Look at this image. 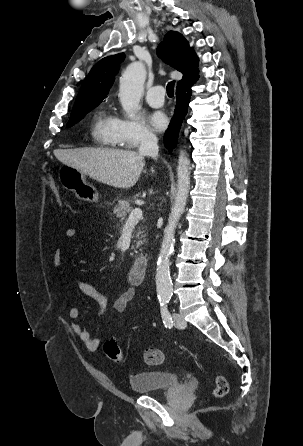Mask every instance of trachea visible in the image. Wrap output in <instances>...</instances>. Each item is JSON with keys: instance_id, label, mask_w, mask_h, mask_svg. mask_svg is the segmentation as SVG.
<instances>
[{"instance_id": "trachea-1", "label": "trachea", "mask_w": 303, "mask_h": 446, "mask_svg": "<svg viewBox=\"0 0 303 446\" xmlns=\"http://www.w3.org/2000/svg\"><path fill=\"white\" fill-rule=\"evenodd\" d=\"M174 86H175V81L169 82L166 86L167 95L169 97L174 96Z\"/></svg>"}]
</instances>
